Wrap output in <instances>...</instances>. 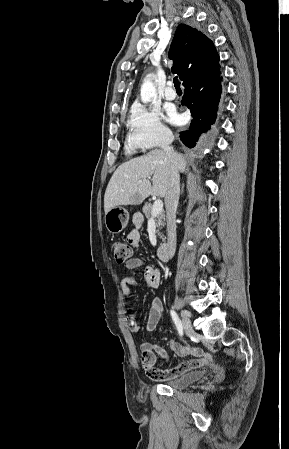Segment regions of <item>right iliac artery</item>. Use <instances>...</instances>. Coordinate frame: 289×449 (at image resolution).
Here are the masks:
<instances>
[{
    "mask_svg": "<svg viewBox=\"0 0 289 449\" xmlns=\"http://www.w3.org/2000/svg\"><path fill=\"white\" fill-rule=\"evenodd\" d=\"M170 314H171V317L176 325L179 335L182 336L183 335V325H182L180 318L178 317V315L176 314V312L174 310H171Z\"/></svg>",
    "mask_w": 289,
    "mask_h": 449,
    "instance_id": "1",
    "label": "right iliac artery"
}]
</instances>
